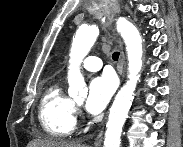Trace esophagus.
Returning a JSON list of instances; mask_svg holds the SVG:
<instances>
[{
	"mask_svg": "<svg viewBox=\"0 0 183 147\" xmlns=\"http://www.w3.org/2000/svg\"><path fill=\"white\" fill-rule=\"evenodd\" d=\"M124 65H125V55L124 52H121V59H120V75H124ZM103 140V130H100V132L97 134L95 138V146H100Z\"/></svg>",
	"mask_w": 183,
	"mask_h": 147,
	"instance_id": "34e87169",
	"label": "esophagus"
}]
</instances>
